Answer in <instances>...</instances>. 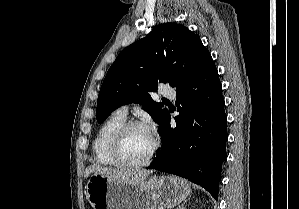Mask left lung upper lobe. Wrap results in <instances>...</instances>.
I'll return each instance as SVG.
<instances>
[{
    "label": "left lung upper lobe",
    "instance_id": "left-lung-upper-lobe-1",
    "mask_svg": "<svg viewBox=\"0 0 299 209\" xmlns=\"http://www.w3.org/2000/svg\"><path fill=\"white\" fill-rule=\"evenodd\" d=\"M211 58L200 37L176 23L157 25L144 38L120 52L102 83L96 117L102 123L115 109L132 102L161 125L168 114L148 92L158 83L178 87L189 81Z\"/></svg>",
    "mask_w": 299,
    "mask_h": 209
}]
</instances>
